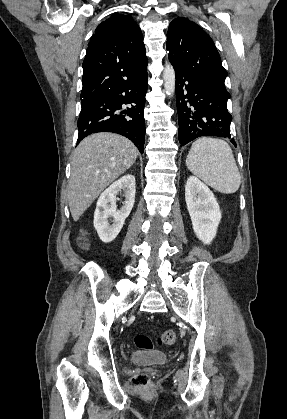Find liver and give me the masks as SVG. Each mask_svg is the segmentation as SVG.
<instances>
[{"instance_id":"1","label":"liver","mask_w":287,"mask_h":419,"mask_svg":"<svg viewBox=\"0 0 287 419\" xmlns=\"http://www.w3.org/2000/svg\"><path fill=\"white\" fill-rule=\"evenodd\" d=\"M138 155L126 137L101 132L83 139L71 160L67 199L74 221L114 180L128 170Z\"/></svg>"}]
</instances>
